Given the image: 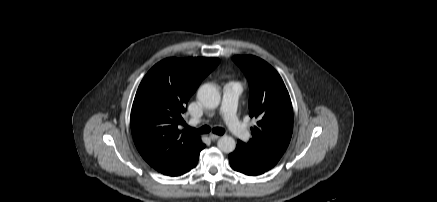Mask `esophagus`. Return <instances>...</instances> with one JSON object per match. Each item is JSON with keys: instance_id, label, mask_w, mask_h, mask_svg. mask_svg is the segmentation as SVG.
<instances>
[{"instance_id": "34e87169", "label": "esophagus", "mask_w": 437, "mask_h": 202, "mask_svg": "<svg viewBox=\"0 0 437 202\" xmlns=\"http://www.w3.org/2000/svg\"><path fill=\"white\" fill-rule=\"evenodd\" d=\"M209 137H210V139L213 140V141H215V140H217V139L220 138V136H219V135H216V134H210Z\"/></svg>"}]
</instances>
